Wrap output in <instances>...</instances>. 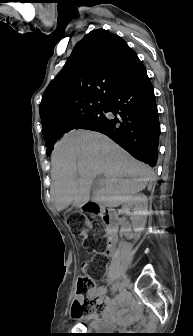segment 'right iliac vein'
I'll use <instances>...</instances> for the list:
<instances>
[{
  "label": "right iliac vein",
  "mask_w": 193,
  "mask_h": 336,
  "mask_svg": "<svg viewBox=\"0 0 193 336\" xmlns=\"http://www.w3.org/2000/svg\"><path fill=\"white\" fill-rule=\"evenodd\" d=\"M129 284H130V280L127 276H125L123 278V280L121 281L120 285H119L120 290L121 291L126 290V288L129 286Z\"/></svg>",
  "instance_id": "1"
}]
</instances>
